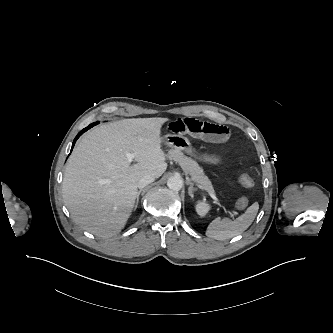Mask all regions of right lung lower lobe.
Here are the masks:
<instances>
[{"mask_svg":"<svg viewBox=\"0 0 333 333\" xmlns=\"http://www.w3.org/2000/svg\"><path fill=\"white\" fill-rule=\"evenodd\" d=\"M98 123H99V122H94V123L90 124L88 127H86L85 129H83L82 131H80V132L78 133V135L75 137L74 141H73L72 148H73V146H74L76 140H77V139H78V138H79V137H80L85 131H87V130L90 129L91 127L97 125Z\"/></svg>","mask_w":333,"mask_h":333,"instance_id":"98d812e1","label":"right lung lower lobe"}]
</instances>
